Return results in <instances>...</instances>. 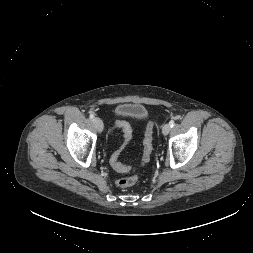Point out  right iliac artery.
<instances>
[{
    "instance_id": "82829eb1",
    "label": "right iliac artery",
    "mask_w": 253,
    "mask_h": 253,
    "mask_svg": "<svg viewBox=\"0 0 253 253\" xmlns=\"http://www.w3.org/2000/svg\"><path fill=\"white\" fill-rule=\"evenodd\" d=\"M89 117H90V119H93V120L95 118L93 114H90Z\"/></svg>"
}]
</instances>
